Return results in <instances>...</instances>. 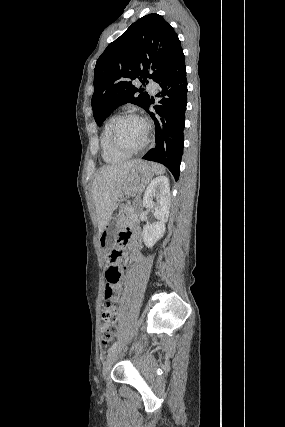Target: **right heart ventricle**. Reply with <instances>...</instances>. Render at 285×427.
<instances>
[{"instance_id":"right-heart-ventricle-1","label":"right heart ventricle","mask_w":285,"mask_h":427,"mask_svg":"<svg viewBox=\"0 0 285 427\" xmlns=\"http://www.w3.org/2000/svg\"><path fill=\"white\" fill-rule=\"evenodd\" d=\"M116 116H110L104 123L100 134V148L103 160L110 164L121 163L127 160L130 155L117 151L110 141V128Z\"/></svg>"}]
</instances>
